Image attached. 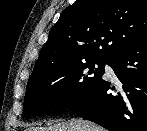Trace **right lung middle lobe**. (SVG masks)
<instances>
[{
    "label": "right lung middle lobe",
    "instance_id": "right-lung-middle-lobe-1",
    "mask_svg": "<svg viewBox=\"0 0 147 131\" xmlns=\"http://www.w3.org/2000/svg\"><path fill=\"white\" fill-rule=\"evenodd\" d=\"M108 63L106 59H88L30 77L23 116L61 111L75 105L102 79L104 65Z\"/></svg>",
    "mask_w": 147,
    "mask_h": 131
}]
</instances>
